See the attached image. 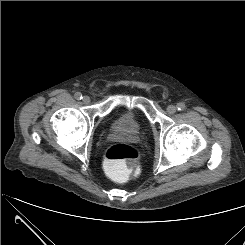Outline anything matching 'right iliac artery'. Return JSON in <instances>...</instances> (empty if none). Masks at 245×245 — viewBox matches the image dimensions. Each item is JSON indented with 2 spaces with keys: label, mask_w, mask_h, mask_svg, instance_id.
Segmentation results:
<instances>
[{
  "label": "right iliac artery",
  "mask_w": 245,
  "mask_h": 245,
  "mask_svg": "<svg viewBox=\"0 0 245 245\" xmlns=\"http://www.w3.org/2000/svg\"><path fill=\"white\" fill-rule=\"evenodd\" d=\"M75 98L77 100H81L82 99V94L80 92L75 93Z\"/></svg>",
  "instance_id": "right-iliac-artery-1"
}]
</instances>
